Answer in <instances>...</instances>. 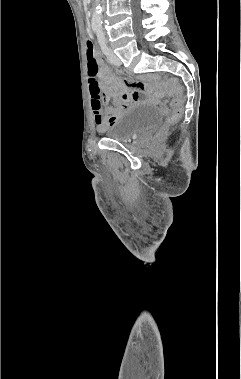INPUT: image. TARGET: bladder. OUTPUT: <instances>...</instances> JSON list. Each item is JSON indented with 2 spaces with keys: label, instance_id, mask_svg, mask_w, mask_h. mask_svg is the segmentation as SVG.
<instances>
[{
  "label": "bladder",
  "instance_id": "obj_1",
  "mask_svg": "<svg viewBox=\"0 0 241 379\" xmlns=\"http://www.w3.org/2000/svg\"><path fill=\"white\" fill-rule=\"evenodd\" d=\"M160 121L161 112L158 108L148 104H139L119 116L107 127L105 134L109 139L129 142L155 128Z\"/></svg>",
  "mask_w": 241,
  "mask_h": 379
}]
</instances>
